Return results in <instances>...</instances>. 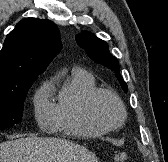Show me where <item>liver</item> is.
I'll return each instance as SVG.
<instances>
[{"mask_svg": "<svg viewBox=\"0 0 168 162\" xmlns=\"http://www.w3.org/2000/svg\"><path fill=\"white\" fill-rule=\"evenodd\" d=\"M0 162H97V158L65 139L26 137L1 143Z\"/></svg>", "mask_w": 168, "mask_h": 162, "instance_id": "liver-1", "label": "liver"}]
</instances>
